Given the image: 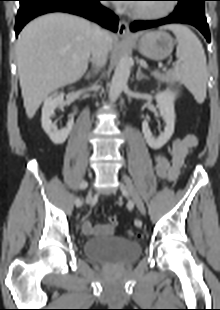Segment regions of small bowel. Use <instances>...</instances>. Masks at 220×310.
<instances>
[{
  "mask_svg": "<svg viewBox=\"0 0 220 310\" xmlns=\"http://www.w3.org/2000/svg\"><path fill=\"white\" fill-rule=\"evenodd\" d=\"M198 139L193 134H187L182 138L175 139L168 153L172 158L171 163L168 159L161 155H154L155 171L157 176L169 182H175L182 174L184 163L192 150L197 146ZM82 231L86 235L99 234L103 236L111 235L114 228L109 225H93L87 218L81 223Z\"/></svg>",
  "mask_w": 220,
  "mask_h": 310,
  "instance_id": "small-bowel-1",
  "label": "small bowel"
}]
</instances>
